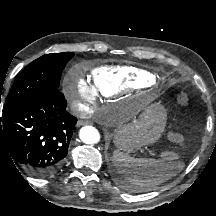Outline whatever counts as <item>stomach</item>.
I'll return each mask as SVG.
<instances>
[{
    "label": "stomach",
    "mask_w": 216,
    "mask_h": 216,
    "mask_svg": "<svg viewBox=\"0 0 216 216\" xmlns=\"http://www.w3.org/2000/svg\"><path fill=\"white\" fill-rule=\"evenodd\" d=\"M166 120L164 106L159 102L151 103L144 108L138 119L115 131L114 143L126 152L153 144L161 137Z\"/></svg>",
    "instance_id": "stomach-1"
}]
</instances>
